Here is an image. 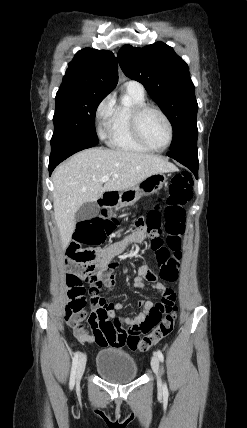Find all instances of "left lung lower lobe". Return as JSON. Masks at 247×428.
Instances as JSON below:
<instances>
[{
	"label": "left lung lower lobe",
	"instance_id": "left-lung-lower-lobe-1",
	"mask_svg": "<svg viewBox=\"0 0 247 428\" xmlns=\"http://www.w3.org/2000/svg\"><path fill=\"white\" fill-rule=\"evenodd\" d=\"M168 156L177 160L187 168H189L196 178H198V154L197 149L195 150H186L181 152H172L168 153Z\"/></svg>",
	"mask_w": 247,
	"mask_h": 428
}]
</instances>
